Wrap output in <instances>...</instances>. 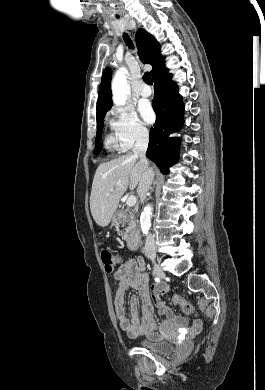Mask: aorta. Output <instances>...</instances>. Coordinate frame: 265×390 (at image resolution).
<instances>
[{
	"instance_id": "obj_1",
	"label": "aorta",
	"mask_w": 265,
	"mask_h": 390,
	"mask_svg": "<svg viewBox=\"0 0 265 390\" xmlns=\"http://www.w3.org/2000/svg\"><path fill=\"white\" fill-rule=\"evenodd\" d=\"M128 70L125 67L119 68L112 80V99L116 105H125L130 95V85L127 81ZM152 207L147 205L140 216L142 233L147 235L151 227Z\"/></svg>"
}]
</instances>
